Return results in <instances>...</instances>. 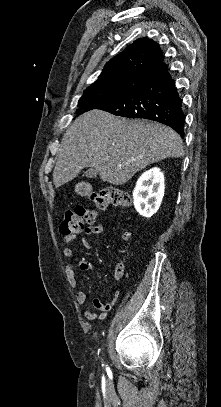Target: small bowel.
I'll use <instances>...</instances> for the list:
<instances>
[{
    "label": "small bowel",
    "mask_w": 221,
    "mask_h": 407,
    "mask_svg": "<svg viewBox=\"0 0 221 407\" xmlns=\"http://www.w3.org/2000/svg\"><path fill=\"white\" fill-rule=\"evenodd\" d=\"M103 232V228L102 226H97V229L95 232L93 233H102ZM74 239L72 237H64V242L66 244V246L63 248V254L66 258H68L70 261L69 263L66 265L65 268V272H66V279L68 282V285L71 288H76L77 287V279L75 276V271H74V265L72 260L74 259V251L73 249L69 246V244L73 243ZM81 243L82 245L89 250L92 251H96L98 252L99 249L98 247L93 244L92 242H90L87 238L82 237L81 238ZM79 267L81 269V271L83 272H89L93 270V266L92 264L87 260L86 257L81 258L80 262H79ZM118 269L117 268L115 270L114 273V279L118 280L120 279V274L118 273ZM119 296V291H115L113 296L111 297V300L108 303H103L102 300L99 297H95L92 300V305L94 308V311H89L85 313V317L88 320H93L97 317L98 313H99V318L102 319L105 317V315L107 314V312L111 309V307L115 304L117 298ZM88 298V291L87 290H79L76 294H75V302L77 305H83Z\"/></svg>",
    "instance_id": "1"
}]
</instances>
